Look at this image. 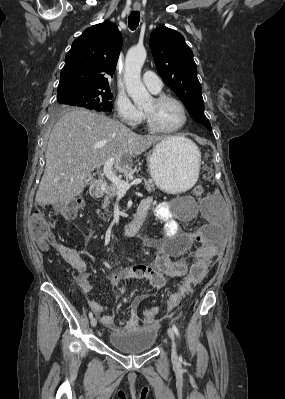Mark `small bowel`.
I'll return each mask as SVG.
<instances>
[{"instance_id": "obj_1", "label": "small bowel", "mask_w": 285, "mask_h": 399, "mask_svg": "<svg viewBox=\"0 0 285 399\" xmlns=\"http://www.w3.org/2000/svg\"><path fill=\"white\" fill-rule=\"evenodd\" d=\"M139 206H146L147 214L153 206V214L162 225V235L151 240L155 252L153 261L149 265L122 269L109 277V282L116 284L122 281H139L156 289H161L169 279L186 280L188 278L190 254H193L196 262L204 260L210 262L217 256L220 246L221 215L215 206L213 197L204 198L185 217L186 220L190 221L198 214L205 218V224L196 231L181 229L179 221L172 213L167 201L155 202L153 197L147 196L141 200ZM67 217L69 216L67 215ZM63 251L70 252L65 247ZM69 261L82 273L80 284L83 290L87 293L90 292L95 283L90 280L89 273L85 272L86 261L81 256L71 252ZM202 277L203 275L192 285L200 281ZM190 291L191 286L182 293L180 290L173 292L168 299V308L176 307ZM140 300L141 296L133 297L128 307V314L120 321H116L113 316L105 314L106 307L95 300L89 301V307L105 327L118 332L139 326L136 308Z\"/></svg>"}]
</instances>
